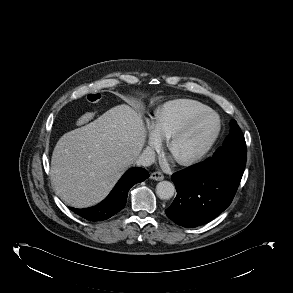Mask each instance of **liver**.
I'll use <instances>...</instances> for the list:
<instances>
[{
  "instance_id": "obj_1",
  "label": "liver",
  "mask_w": 293,
  "mask_h": 293,
  "mask_svg": "<svg viewBox=\"0 0 293 293\" xmlns=\"http://www.w3.org/2000/svg\"><path fill=\"white\" fill-rule=\"evenodd\" d=\"M145 138L141 115L125 104L65 133L51 159L56 194L76 208L99 203L138 158Z\"/></svg>"
}]
</instances>
